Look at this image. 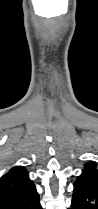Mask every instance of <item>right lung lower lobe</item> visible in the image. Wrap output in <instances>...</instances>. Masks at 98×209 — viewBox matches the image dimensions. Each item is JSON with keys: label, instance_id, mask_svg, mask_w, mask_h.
Returning a JSON list of instances; mask_svg holds the SVG:
<instances>
[{"label": "right lung lower lobe", "instance_id": "98d812e1", "mask_svg": "<svg viewBox=\"0 0 98 209\" xmlns=\"http://www.w3.org/2000/svg\"><path fill=\"white\" fill-rule=\"evenodd\" d=\"M6 209H43L35 186Z\"/></svg>", "mask_w": 98, "mask_h": 209}]
</instances>
